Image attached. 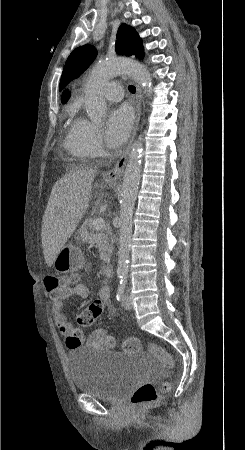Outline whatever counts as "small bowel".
<instances>
[{"label":"small bowel","instance_id":"small-bowel-1","mask_svg":"<svg viewBox=\"0 0 245 450\" xmlns=\"http://www.w3.org/2000/svg\"><path fill=\"white\" fill-rule=\"evenodd\" d=\"M109 293V286L104 284L99 291V297L104 304H108ZM90 295L91 290L81 283L67 285L59 291L48 293V297L51 300V316L61 332L69 334L75 330L74 326L67 321L64 300L71 296L88 299ZM83 344L85 347L109 349L114 346L115 342L112 336L97 330L89 334Z\"/></svg>","mask_w":245,"mask_h":450}]
</instances>
